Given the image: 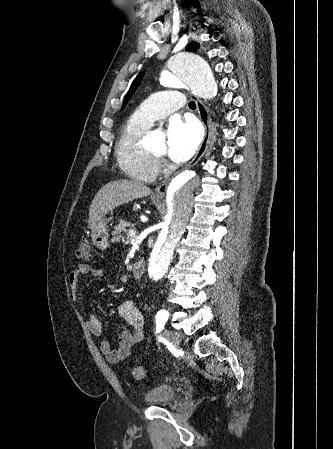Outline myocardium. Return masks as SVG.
Returning a JSON list of instances; mask_svg holds the SVG:
<instances>
[{
  "instance_id": "f54148a6",
  "label": "myocardium",
  "mask_w": 333,
  "mask_h": 449,
  "mask_svg": "<svg viewBox=\"0 0 333 449\" xmlns=\"http://www.w3.org/2000/svg\"><path fill=\"white\" fill-rule=\"evenodd\" d=\"M152 155H153L155 158H157V159H160V158L163 157V155H158V154H154V153H152Z\"/></svg>"
}]
</instances>
